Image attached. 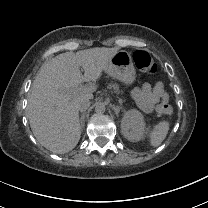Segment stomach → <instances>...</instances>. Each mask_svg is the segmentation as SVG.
Here are the masks:
<instances>
[{
  "label": "stomach",
  "mask_w": 208,
  "mask_h": 208,
  "mask_svg": "<svg viewBox=\"0 0 208 208\" xmlns=\"http://www.w3.org/2000/svg\"><path fill=\"white\" fill-rule=\"evenodd\" d=\"M104 72L126 85H131L136 78V71L131 55L125 51H117L104 68Z\"/></svg>",
  "instance_id": "obj_1"
}]
</instances>
